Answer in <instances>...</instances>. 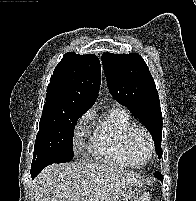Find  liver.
<instances>
[{
  "label": "liver",
  "mask_w": 196,
  "mask_h": 201,
  "mask_svg": "<svg viewBox=\"0 0 196 201\" xmlns=\"http://www.w3.org/2000/svg\"><path fill=\"white\" fill-rule=\"evenodd\" d=\"M130 186L141 182L112 163H65L44 168L32 192L35 201H119Z\"/></svg>",
  "instance_id": "1"
}]
</instances>
